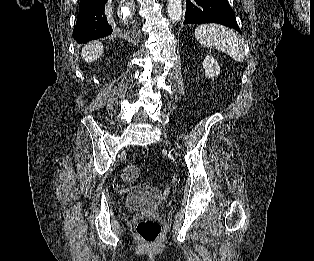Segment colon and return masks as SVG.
Returning <instances> with one entry per match:
<instances>
[{
    "instance_id": "5ec220e1",
    "label": "colon",
    "mask_w": 314,
    "mask_h": 261,
    "mask_svg": "<svg viewBox=\"0 0 314 261\" xmlns=\"http://www.w3.org/2000/svg\"><path fill=\"white\" fill-rule=\"evenodd\" d=\"M140 168L130 165L124 168L122 177L126 182H134L140 176ZM162 227L159 221L151 218L140 220L136 225V233L147 243L155 242L160 236Z\"/></svg>"
}]
</instances>
